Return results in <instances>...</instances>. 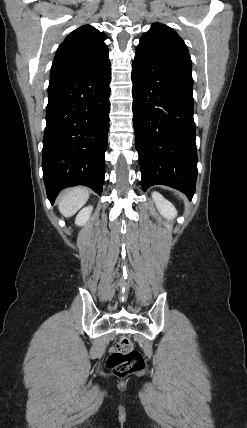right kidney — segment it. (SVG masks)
<instances>
[{"label":"right kidney","instance_id":"1","mask_svg":"<svg viewBox=\"0 0 247 428\" xmlns=\"http://www.w3.org/2000/svg\"><path fill=\"white\" fill-rule=\"evenodd\" d=\"M92 210H93L92 206H88V207L83 208L78 213V215L76 216L75 224L78 226L84 225L88 221V219L90 218Z\"/></svg>","mask_w":247,"mask_h":428}]
</instances>
